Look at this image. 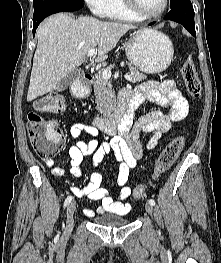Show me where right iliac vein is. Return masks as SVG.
<instances>
[{
	"mask_svg": "<svg viewBox=\"0 0 221 263\" xmlns=\"http://www.w3.org/2000/svg\"><path fill=\"white\" fill-rule=\"evenodd\" d=\"M76 209V202L72 201L66 211V231L70 232L74 225V212Z\"/></svg>",
	"mask_w": 221,
	"mask_h": 263,
	"instance_id": "63e3f726",
	"label": "right iliac vein"
}]
</instances>
